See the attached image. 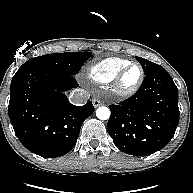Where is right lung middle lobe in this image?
I'll return each instance as SVG.
<instances>
[{"label": "right lung middle lobe", "instance_id": "dd1d6c3e", "mask_svg": "<svg viewBox=\"0 0 193 193\" xmlns=\"http://www.w3.org/2000/svg\"><path fill=\"white\" fill-rule=\"evenodd\" d=\"M89 57H91L90 52L47 54L28 60L19 68L17 72L48 70L74 76L80 71L82 65Z\"/></svg>", "mask_w": 193, "mask_h": 193}]
</instances>
